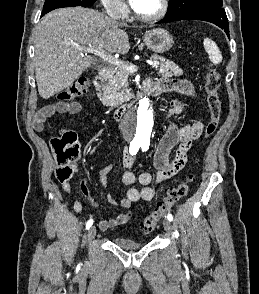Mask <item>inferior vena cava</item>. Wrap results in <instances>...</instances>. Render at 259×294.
Returning <instances> with one entry per match:
<instances>
[{
    "label": "inferior vena cava",
    "instance_id": "obj_1",
    "mask_svg": "<svg viewBox=\"0 0 259 294\" xmlns=\"http://www.w3.org/2000/svg\"><path fill=\"white\" fill-rule=\"evenodd\" d=\"M110 17L114 20V21H118L120 19V10L119 7L117 5H115L114 7L111 8L110 12H109Z\"/></svg>",
    "mask_w": 259,
    "mask_h": 294
}]
</instances>
